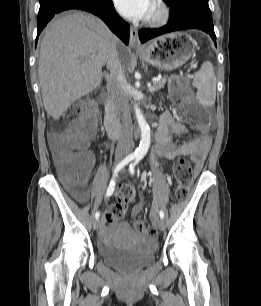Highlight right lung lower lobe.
<instances>
[{
    "mask_svg": "<svg viewBox=\"0 0 261 306\" xmlns=\"http://www.w3.org/2000/svg\"><path fill=\"white\" fill-rule=\"evenodd\" d=\"M39 35L53 16L68 9H81L100 17L125 44L129 43L130 26L116 13L111 0H39ZM38 37L36 38V43Z\"/></svg>",
    "mask_w": 261,
    "mask_h": 306,
    "instance_id": "obj_1",
    "label": "right lung lower lobe"
}]
</instances>
